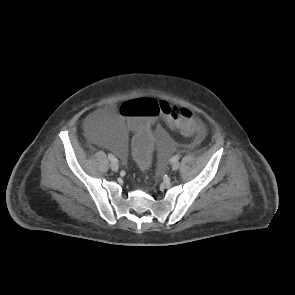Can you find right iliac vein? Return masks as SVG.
<instances>
[{
    "label": "right iliac vein",
    "instance_id": "63e3f726",
    "mask_svg": "<svg viewBox=\"0 0 295 295\" xmlns=\"http://www.w3.org/2000/svg\"><path fill=\"white\" fill-rule=\"evenodd\" d=\"M110 168H111L113 171H118L119 166H118L117 162H111V163H110Z\"/></svg>",
    "mask_w": 295,
    "mask_h": 295
}]
</instances>
